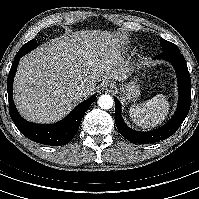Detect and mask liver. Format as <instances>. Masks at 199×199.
Wrapping results in <instances>:
<instances>
[{
    "instance_id": "1",
    "label": "liver",
    "mask_w": 199,
    "mask_h": 199,
    "mask_svg": "<svg viewBox=\"0 0 199 199\" xmlns=\"http://www.w3.org/2000/svg\"><path fill=\"white\" fill-rule=\"evenodd\" d=\"M123 41L110 31L81 30L41 45L25 55L14 80V101L19 113L36 123L65 117L94 92L97 82L124 80L128 61ZM84 85L86 92L74 91Z\"/></svg>"
}]
</instances>
